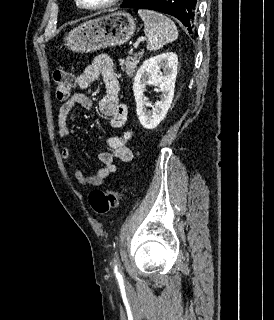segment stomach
Listing matches in <instances>:
<instances>
[{"mask_svg":"<svg viewBox=\"0 0 274 320\" xmlns=\"http://www.w3.org/2000/svg\"><path fill=\"white\" fill-rule=\"evenodd\" d=\"M135 30L136 22L130 14L114 12L73 28L67 34L64 46L77 54H89L102 48L126 44L134 36Z\"/></svg>","mask_w":274,"mask_h":320,"instance_id":"obj_1","label":"stomach"}]
</instances>
